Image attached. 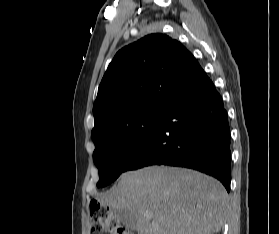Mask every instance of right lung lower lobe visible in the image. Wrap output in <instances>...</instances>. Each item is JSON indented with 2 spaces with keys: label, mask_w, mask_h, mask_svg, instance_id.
Listing matches in <instances>:
<instances>
[{
  "label": "right lung lower lobe",
  "mask_w": 279,
  "mask_h": 234,
  "mask_svg": "<svg viewBox=\"0 0 279 234\" xmlns=\"http://www.w3.org/2000/svg\"><path fill=\"white\" fill-rule=\"evenodd\" d=\"M230 128L222 97L202 70L164 111L125 171L149 165L199 170L230 191Z\"/></svg>",
  "instance_id": "obj_1"
}]
</instances>
